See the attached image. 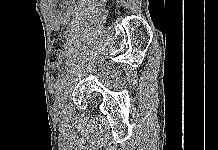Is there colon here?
I'll return each mask as SVG.
<instances>
[{
  "label": "colon",
  "instance_id": "1",
  "mask_svg": "<svg viewBox=\"0 0 218 150\" xmlns=\"http://www.w3.org/2000/svg\"><path fill=\"white\" fill-rule=\"evenodd\" d=\"M65 47H66V41L65 38L62 35L57 36L52 44V48H51V61L53 63L58 62L65 51Z\"/></svg>",
  "mask_w": 218,
  "mask_h": 150
}]
</instances>
